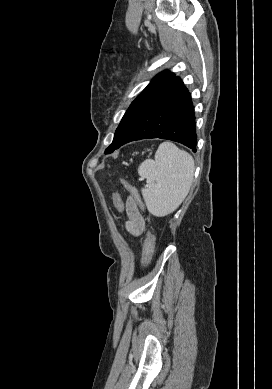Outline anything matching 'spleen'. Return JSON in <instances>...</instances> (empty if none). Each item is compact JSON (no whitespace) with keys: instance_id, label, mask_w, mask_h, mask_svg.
Listing matches in <instances>:
<instances>
[{"instance_id":"spleen-1","label":"spleen","mask_w":272,"mask_h":389,"mask_svg":"<svg viewBox=\"0 0 272 389\" xmlns=\"http://www.w3.org/2000/svg\"><path fill=\"white\" fill-rule=\"evenodd\" d=\"M192 156L173 143L159 145L155 160L143 161L138 174L147 179L142 195L148 211L157 217L174 212L187 196L194 175Z\"/></svg>"}]
</instances>
